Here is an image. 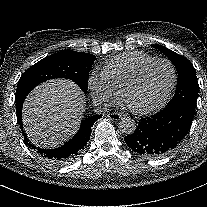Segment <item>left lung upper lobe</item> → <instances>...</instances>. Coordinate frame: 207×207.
Listing matches in <instances>:
<instances>
[{
  "mask_svg": "<svg viewBox=\"0 0 207 207\" xmlns=\"http://www.w3.org/2000/svg\"><path fill=\"white\" fill-rule=\"evenodd\" d=\"M152 47L166 55L174 64L178 72L175 95L166 107L180 105L195 111L198 96V81L192 63L186 57L179 55L164 46L152 45Z\"/></svg>",
  "mask_w": 207,
  "mask_h": 207,
  "instance_id": "obj_1",
  "label": "left lung upper lobe"
}]
</instances>
